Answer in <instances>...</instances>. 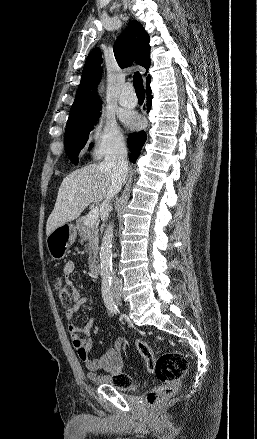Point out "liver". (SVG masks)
Instances as JSON below:
<instances>
[{
	"label": "liver",
	"mask_w": 257,
	"mask_h": 439,
	"mask_svg": "<svg viewBox=\"0 0 257 439\" xmlns=\"http://www.w3.org/2000/svg\"><path fill=\"white\" fill-rule=\"evenodd\" d=\"M111 179L112 168L104 162L87 165L66 176L47 220V236L62 224L77 219L89 204L102 201L111 187Z\"/></svg>",
	"instance_id": "obj_1"
}]
</instances>
